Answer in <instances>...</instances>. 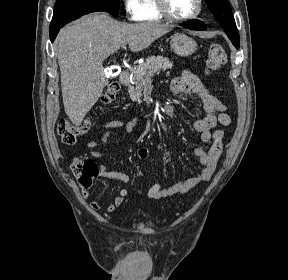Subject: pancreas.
I'll use <instances>...</instances> for the list:
<instances>
[{
    "instance_id": "cf45deb5",
    "label": "pancreas",
    "mask_w": 288,
    "mask_h": 280,
    "mask_svg": "<svg viewBox=\"0 0 288 280\" xmlns=\"http://www.w3.org/2000/svg\"><path fill=\"white\" fill-rule=\"evenodd\" d=\"M173 63L162 56L148 57L144 63L133 69V84L128 89L132 101L141 102L143 86L151 82V77L161 70L171 69Z\"/></svg>"
}]
</instances>
